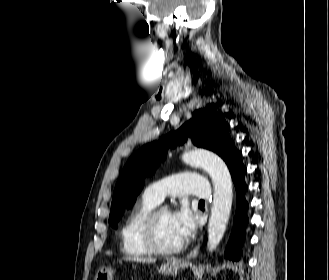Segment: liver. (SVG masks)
I'll return each mask as SVG.
<instances>
[{
	"instance_id": "obj_1",
	"label": "liver",
	"mask_w": 329,
	"mask_h": 280,
	"mask_svg": "<svg viewBox=\"0 0 329 280\" xmlns=\"http://www.w3.org/2000/svg\"><path fill=\"white\" fill-rule=\"evenodd\" d=\"M124 260L139 262V263H154L156 260L153 258H145V257H125Z\"/></svg>"
}]
</instances>
